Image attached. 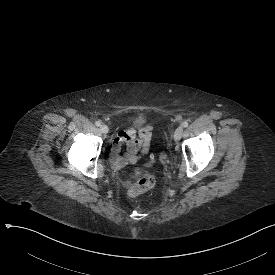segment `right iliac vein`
Listing matches in <instances>:
<instances>
[{
  "mask_svg": "<svg viewBox=\"0 0 275 275\" xmlns=\"http://www.w3.org/2000/svg\"><path fill=\"white\" fill-rule=\"evenodd\" d=\"M100 130L102 133L107 134L109 129L107 125L103 124L100 126Z\"/></svg>",
  "mask_w": 275,
  "mask_h": 275,
  "instance_id": "right-iliac-vein-1",
  "label": "right iliac vein"
}]
</instances>
